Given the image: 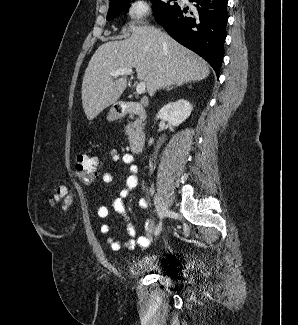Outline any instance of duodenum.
<instances>
[{
  "mask_svg": "<svg viewBox=\"0 0 298 325\" xmlns=\"http://www.w3.org/2000/svg\"><path fill=\"white\" fill-rule=\"evenodd\" d=\"M148 104V100L138 102H123L117 108L119 116H126L128 114L135 117H140L145 112V106ZM145 134L142 131H134L129 138V147L133 153H140L145 145Z\"/></svg>",
  "mask_w": 298,
  "mask_h": 325,
  "instance_id": "410a0bca",
  "label": "duodenum"
}]
</instances>
